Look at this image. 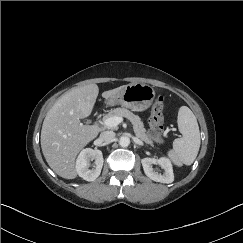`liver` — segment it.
<instances>
[{
	"label": "liver",
	"mask_w": 243,
	"mask_h": 243,
	"mask_svg": "<svg viewBox=\"0 0 243 243\" xmlns=\"http://www.w3.org/2000/svg\"><path fill=\"white\" fill-rule=\"evenodd\" d=\"M125 85L102 93L105 99L117 95ZM99 88L96 84L72 88L48 111L41 130V148L50 168L65 179L77 176L76 157L100 131L97 125H84L95 105Z\"/></svg>",
	"instance_id": "6515ba94"
}]
</instances>
